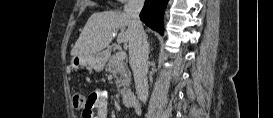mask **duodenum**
<instances>
[{"label":"duodenum","instance_id":"1","mask_svg":"<svg viewBox=\"0 0 273 118\" xmlns=\"http://www.w3.org/2000/svg\"><path fill=\"white\" fill-rule=\"evenodd\" d=\"M122 102L126 107H135L138 104V99L133 91H126L122 94Z\"/></svg>","mask_w":273,"mask_h":118}]
</instances>
